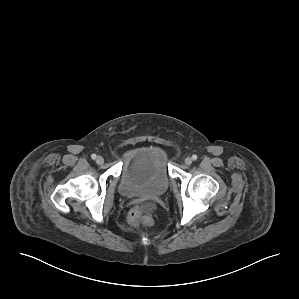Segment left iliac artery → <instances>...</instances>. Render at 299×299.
<instances>
[{
    "label": "left iliac artery",
    "mask_w": 299,
    "mask_h": 299,
    "mask_svg": "<svg viewBox=\"0 0 299 299\" xmlns=\"http://www.w3.org/2000/svg\"><path fill=\"white\" fill-rule=\"evenodd\" d=\"M192 159H193V160H197V155H193V156H192Z\"/></svg>",
    "instance_id": "obj_1"
}]
</instances>
